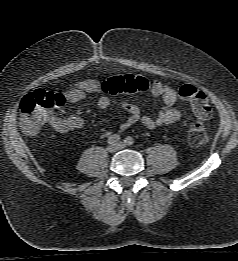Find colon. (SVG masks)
<instances>
[{"label":"colon","mask_w":238,"mask_h":261,"mask_svg":"<svg viewBox=\"0 0 238 261\" xmlns=\"http://www.w3.org/2000/svg\"><path fill=\"white\" fill-rule=\"evenodd\" d=\"M150 88L149 81L139 75L115 76L102 83V90L108 95L132 94L144 92ZM181 99L187 101L192 108L195 122L188 130V141L192 146H202L208 142L205 122L210 119L212 109L206 94L193 85H183L178 90ZM64 99L56 93L37 90L24 96L20 103V126L27 135L37 133L47 121L50 110L61 106Z\"/></svg>","instance_id":"colon-1"}]
</instances>
